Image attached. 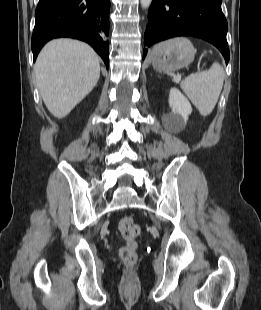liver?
I'll list each match as a JSON object with an SVG mask.
<instances>
[{
    "mask_svg": "<svg viewBox=\"0 0 261 310\" xmlns=\"http://www.w3.org/2000/svg\"><path fill=\"white\" fill-rule=\"evenodd\" d=\"M34 72L46 107L61 119L96 86L100 77L99 57L86 43L55 39L41 50Z\"/></svg>",
    "mask_w": 261,
    "mask_h": 310,
    "instance_id": "obj_1",
    "label": "liver"
}]
</instances>
